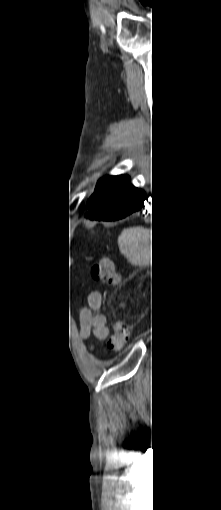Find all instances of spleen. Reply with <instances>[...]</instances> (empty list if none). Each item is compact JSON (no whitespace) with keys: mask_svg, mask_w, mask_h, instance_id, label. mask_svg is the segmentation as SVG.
<instances>
[{"mask_svg":"<svg viewBox=\"0 0 221 510\" xmlns=\"http://www.w3.org/2000/svg\"><path fill=\"white\" fill-rule=\"evenodd\" d=\"M118 245L120 252L131 262L144 264L150 256L151 232L140 226L124 229L118 238Z\"/></svg>","mask_w":221,"mask_h":510,"instance_id":"1","label":"spleen"}]
</instances>
